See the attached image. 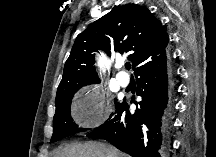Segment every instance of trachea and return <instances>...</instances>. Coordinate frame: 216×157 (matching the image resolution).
Segmentation results:
<instances>
[{
	"instance_id": "3493384b",
	"label": "trachea",
	"mask_w": 216,
	"mask_h": 157,
	"mask_svg": "<svg viewBox=\"0 0 216 157\" xmlns=\"http://www.w3.org/2000/svg\"><path fill=\"white\" fill-rule=\"evenodd\" d=\"M125 67H126L127 70H129V69L131 68L130 62H126V63H125Z\"/></svg>"
}]
</instances>
